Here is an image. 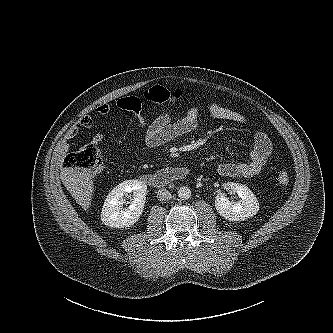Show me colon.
I'll return each mask as SVG.
<instances>
[{"instance_id":"5ec220e1","label":"colon","mask_w":333,"mask_h":333,"mask_svg":"<svg viewBox=\"0 0 333 333\" xmlns=\"http://www.w3.org/2000/svg\"><path fill=\"white\" fill-rule=\"evenodd\" d=\"M181 95L182 92L179 90L171 93L162 86H153L144 92L147 100L162 106L173 105ZM64 164L67 168L81 169L91 174L101 172L104 166L102 154L97 145L93 143L87 144L68 154L64 160ZM277 181L280 185H287L289 183V174L284 170L280 171Z\"/></svg>"}]
</instances>
